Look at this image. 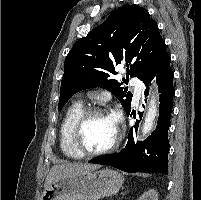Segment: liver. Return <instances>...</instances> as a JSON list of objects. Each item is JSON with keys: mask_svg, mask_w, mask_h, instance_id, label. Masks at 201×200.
<instances>
[{"mask_svg": "<svg viewBox=\"0 0 201 200\" xmlns=\"http://www.w3.org/2000/svg\"><path fill=\"white\" fill-rule=\"evenodd\" d=\"M98 168V165H92L87 163H64L55 165L51 168L49 174L46 177L44 188L46 189L55 181L68 175L83 171H93Z\"/></svg>", "mask_w": 201, "mask_h": 200, "instance_id": "1", "label": "liver"}]
</instances>
